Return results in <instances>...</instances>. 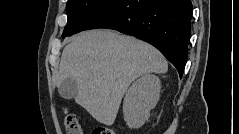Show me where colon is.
Segmentation results:
<instances>
[{
    "label": "colon",
    "mask_w": 239,
    "mask_h": 134,
    "mask_svg": "<svg viewBox=\"0 0 239 134\" xmlns=\"http://www.w3.org/2000/svg\"><path fill=\"white\" fill-rule=\"evenodd\" d=\"M64 122L68 134H81L80 125L75 114L65 110ZM93 134H115V132L110 128L97 127Z\"/></svg>",
    "instance_id": "colon-1"
}]
</instances>
